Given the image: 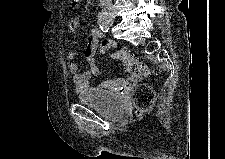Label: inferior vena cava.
<instances>
[{
	"label": "inferior vena cava",
	"mask_w": 225,
	"mask_h": 159,
	"mask_svg": "<svg viewBox=\"0 0 225 159\" xmlns=\"http://www.w3.org/2000/svg\"><path fill=\"white\" fill-rule=\"evenodd\" d=\"M101 5L104 6V7L111 6L112 0H101Z\"/></svg>",
	"instance_id": "1"
}]
</instances>
